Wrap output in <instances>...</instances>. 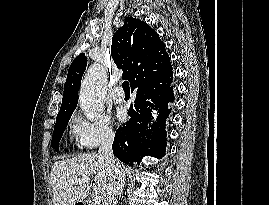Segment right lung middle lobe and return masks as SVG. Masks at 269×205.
<instances>
[{
    "mask_svg": "<svg viewBox=\"0 0 269 205\" xmlns=\"http://www.w3.org/2000/svg\"><path fill=\"white\" fill-rule=\"evenodd\" d=\"M70 117L71 115H67V116L56 119L53 137H52V148H54L56 151L59 150L58 143L62 137L64 130L66 129V126L68 124Z\"/></svg>",
    "mask_w": 269,
    "mask_h": 205,
    "instance_id": "obj_1",
    "label": "right lung middle lobe"
}]
</instances>
